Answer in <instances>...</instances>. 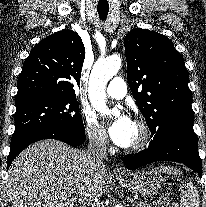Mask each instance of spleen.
<instances>
[{
    "label": "spleen",
    "mask_w": 206,
    "mask_h": 207,
    "mask_svg": "<svg viewBox=\"0 0 206 207\" xmlns=\"http://www.w3.org/2000/svg\"><path fill=\"white\" fill-rule=\"evenodd\" d=\"M159 172L168 173L174 176L180 175V171L171 166H161L155 168ZM180 207H200V196L196 187L191 183L187 182L185 184L184 190L181 194Z\"/></svg>",
    "instance_id": "1"
}]
</instances>
